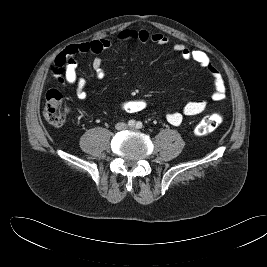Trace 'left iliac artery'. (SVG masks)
<instances>
[{
	"mask_svg": "<svg viewBox=\"0 0 267 267\" xmlns=\"http://www.w3.org/2000/svg\"><path fill=\"white\" fill-rule=\"evenodd\" d=\"M143 127V124L141 122L136 123V128L141 129Z\"/></svg>",
	"mask_w": 267,
	"mask_h": 267,
	"instance_id": "obj_1",
	"label": "left iliac artery"
}]
</instances>
